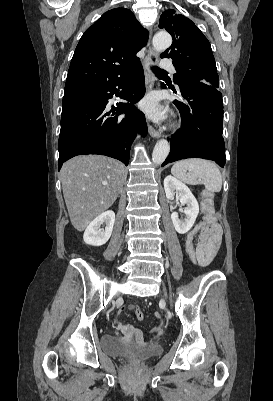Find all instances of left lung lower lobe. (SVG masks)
Listing matches in <instances>:
<instances>
[{"instance_id":"1","label":"left lung lower lobe","mask_w":273,"mask_h":401,"mask_svg":"<svg viewBox=\"0 0 273 401\" xmlns=\"http://www.w3.org/2000/svg\"><path fill=\"white\" fill-rule=\"evenodd\" d=\"M178 86L186 101H174L181 114L182 127L171 137L170 154L162 166L180 159L198 157L213 160L224 167L221 92L204 82H186Z\"/></svg>"}]
</instances>
